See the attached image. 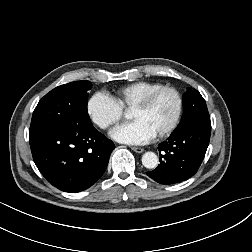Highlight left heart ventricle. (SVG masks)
Masks as SVG:
<instances>
[{
	"instance_id": "obj_1",
	"label": "left heart ventricle",
	"mask_w": 252,
	"mask_h": 252,
	"mask_svg": "<svg viewBox=\"0 0 252 252\" xmlns=\"http://www.w3.org/2000/svg\"><path fill=\"white\" fill-rule=\"evenodd\" d=\"M177 108V100L173 93H161L151 104L144 110L134 109L130 112L133 120H141L146 123L155 134L164 130L173 120Z\"/></svg>"
}]
</instances>
